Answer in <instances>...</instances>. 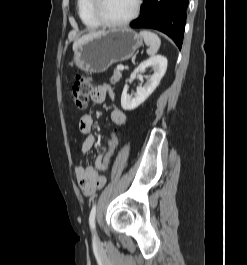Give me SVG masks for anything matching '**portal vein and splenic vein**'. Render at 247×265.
I'll list each match as a JSON object with an SVG mask.
<instances>
[{"instance_id": "18ae733b", "label": "portal vein and splenic vein", "mask_w": 247, "mask_h": 265, "mask_svg": "<svg viewBox=\"0 0 247 265\" xmlns=\"http://www.w3.org/2000/svg\"><path fill=\"white\" fill-rule=\"evenodd\" d=\"M117 69H118V70H123V69H124V66H123V65H118V66H117Z\"/></svg>"}]
</instances>
